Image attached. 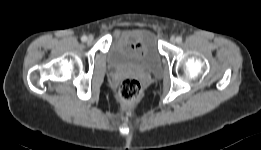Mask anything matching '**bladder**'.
Listing matches in <instances>:
<instances>
[{
    "label": "bladder",
    "mask_w": 261,
    "mask_h": 150,
    "mask_svg": "<svg viewBox=\"0 0 261 150\" xmlns=\"http://www.w3.org/2000/svg\"><path fill=\"white\" fill-rule=\"evenodd\" d=\"M107 62L114 68H137L157 72L162 66V55L155 35L147 29L124 32L107 51Z\"/></svg>",
    "instance_id": "1"
}]
</instances>
